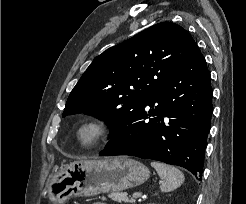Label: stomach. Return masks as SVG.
Returning a JSON list of instances; mask_svg holds the SVG:
<instances>
[{
	"instance_id": "1",
	"label": "stomach",
	"mask_w": 246,
	"mask_h": 204,
	"mask_svg": "<svg viewBox=\"0 0 246 204\" xmlns=\"http://www.w3.org/2000/svg\"><path fill=\"white\" fill-rule=\"evenodd\" d=\"M149 176L144 164L128 157L76 161L49 176L46 192L53 204H64L76 196L120 192L141 185Z\"/></svg>"
}]
</instances>
